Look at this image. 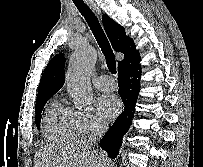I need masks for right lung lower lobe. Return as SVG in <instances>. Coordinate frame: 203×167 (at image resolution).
<instances>
[{
    "instance_id": "1",
    "label": "right lung lower lobe",
    "mask_w": 203,
    "mask_h": 167,
    "mask_svg": "<svg viewBox=\"0 0 203 167\" xmlns=\"http://www.w3.org/2000/svg\"><path fill=\"white\" fill-rule=\"evenodd\" d=\"M139 61L124 69L118 70V93L124 103V111L118 116L99 143L100 147L111 158L117 156L122 144V137L128 131L134 115L140 88L141 72Z\"/></svg>"
}]
</instances>
